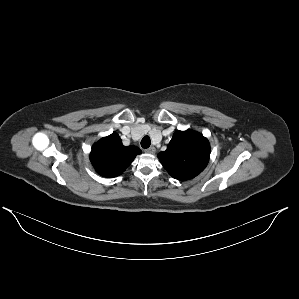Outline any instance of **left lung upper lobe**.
I'll return each mask as SVG.
<instances>
[{"label": "left lung upper lobe", "instance_id": "5c2ea615", "mask_svg": "<svg viewBox=\"0 0 299 299\" xmlns=\"http://www.w3.org/2000/svg\"><path fill=\"white\" fill-rule=\"evenodd\" d=\"M210 144L202 134L193 131H176L164 152L158 158L168 173L178 180H189L207 166Z\"/></svg>", "mask_w": 299, "mask_h": 299}]
</instances>
